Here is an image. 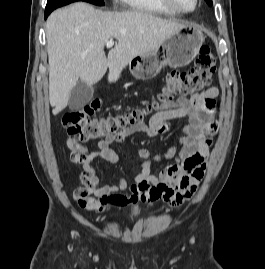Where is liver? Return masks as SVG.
<instances>
[{
  "mask_svg": "<svg viewBox=\"0 0 265 269\" xmlns=\"http://www.w3.org/2000/svg\"><path fill=\"white\" fill-rule=\"evenodd\" d=\"M186 25L141 11L112 12L77 2L54 11L46 22L49 101L53 115L66 108L78 81L92 86L109 69L115 82L135 57L156 49ZM118 43L106 57L104 46Z\"/></svg>",
  "mask_w": 265,
  "mask_h": 269,
  "instance_id": "obj_1",
  "label": "liver"
}]
</instances>
